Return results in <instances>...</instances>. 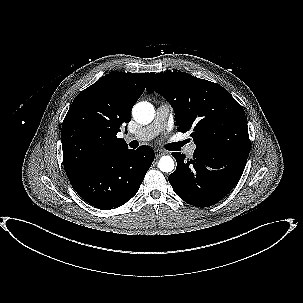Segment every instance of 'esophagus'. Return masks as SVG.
I'll list each match as a JSON object with an SVG mask.
<instances>
[{
	"label": "esophagus",
	"instance_id": "1",
	"mask_svg": "<svg viewBox=\"0 0 303 303\" xmlns=\"http://www.w3.org/2000/svg\"><path fill=\"white\" fill-rule=\"evenodd\" d=\"M165 153H164V151H162V150H159V149H157V150H155V157L156 158H159V157H161L162 155H164Z\"/></svg>",
	"mask_w": 303,
	"mask_h": 303
}]
</instances>
